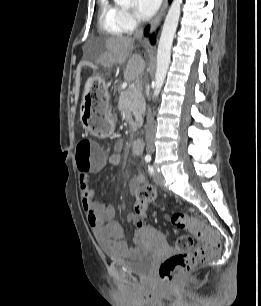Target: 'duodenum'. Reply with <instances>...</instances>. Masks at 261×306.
Wrapping results in <instances>:
<instances>
[{
    "label": "duodenum",
    "instance_id": "obj_1",
    "mask_svg": "<svg viewBox=\"0 0 261 306\" xmlns=\"http://www.w3.org/2000/svg\"><path fill=\"white\" fill-rule=\"evenodd\" d=\"M132 147H133L134 152H136V153L142 152V150H143V140L141 138L134 140L133 143H132Z\"/></svg>",
    "mask_w": 261,
    "mask_h": 306
}]
</instances>
